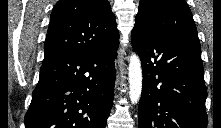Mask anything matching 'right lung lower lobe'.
I'll return each instance as SVG.
<instances>
[{"mask_svg": "<svg viewBox=\"0 0 221 128\" xmlns=\"http://www.w3.org/2000/svg\"><path fill=\"white\" fill-rule=\"evenodd\" d=\"M119 39L44 62L25 128H105L113 104Z\"/></svg>", "mask_w": 221, "mask_h": 128, "instance_id": "1", "label": "right lung lower lobe"}]
</instances>
